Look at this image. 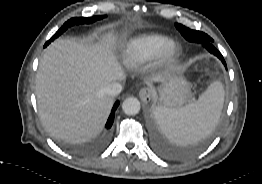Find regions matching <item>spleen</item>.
<instances>
[{"instance_id": "obj_1", "label": "spleen", "mask_w": 262, "mask_h": 184, "mask_svg": "<svg viewBox=\"0 0 262 184\" xmlns=\"http://www.w3.org/2000/svg\"><path fill=\"white\" fill-rule=\"evenodd\" d=\"M224 88L214 81L197 101L181 108L158 106L154 115L161 130L173 143L184 145L209 135L219 122Z\"/></svg>"}]
</instances>
